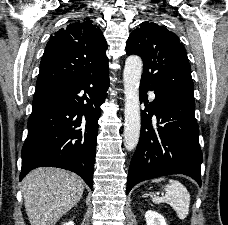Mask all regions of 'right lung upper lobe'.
<instances>
[{
    "mask_svg": "<svg viewBox=\"0 0 228 225\" xmlns=\"http://www.w3.org/2000/svg\"><path fill=\"white\" fill-rule=\"evenodd\" d=\"M107 43L91 20L60 29L48 41L36 82V91L76 82L108 66Z\"/></svg>",
    "mask_w": 228,
    "mask_h": 225,
    "instance_id": "right-lung-upper-lobe-1",
    "label": "right lung upper lobe"
}]
</instances>
